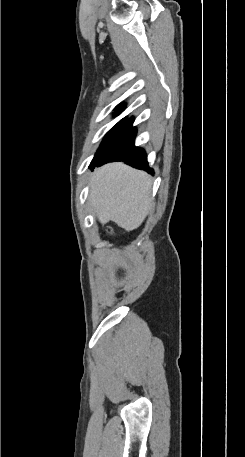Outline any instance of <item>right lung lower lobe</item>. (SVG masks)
<instances>
[{
	"label": "right lung lower lobe",
	"instance_id": "right-lung-lower-lobe-1",
	"mask_svg": "<svg viewBox=\"0 0 245 457\" xmlns=\"http://www.w3.org/2000/svg\"><path fill=\"white\" fill-rule=\"evenodd\" d=\"M133 121V118L125 121L94 166H101L107 162L123 161L135 168L153 173V169L148 167L145 151L134 146L137 130L132 127Z\"/></svg>",
	"mask_w": 245,
	"mask_h": 457
}]
</instances>
